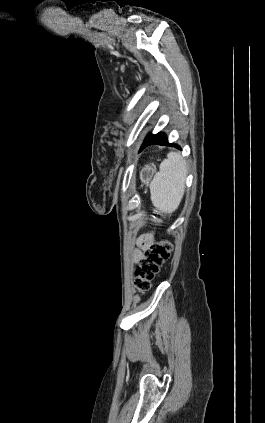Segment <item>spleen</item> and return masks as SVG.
Returning a JSON list of instances; mask_svg holds the SVG:
<instances>
[{"label":"spleen","instance_id":"1","mask_svg":"<svg viewBox=\"0 0 265 423\" xmlns=\"http://www.w3.org/2000/svg\"><path fill=\"white\" fill-rule=\"evenodd\" d=\"M187 165L179 153L170 152L150 183L151 201L161 213H173L183 198Z\"/></svg>","mask_w":265,"mask_h":423}]
</instances>
